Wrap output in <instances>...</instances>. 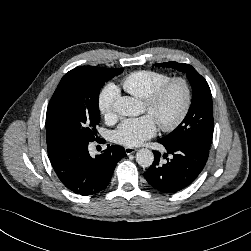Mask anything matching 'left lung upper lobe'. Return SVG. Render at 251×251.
I'll list each match as a JSON object with an SVG mask.
<instances>
[{"instance_id":"1","label":"left lung upper lobe","mask_w":251,"mask_h":251,"mask_svg":"<svg viewBox=\"0 0 251 251\" xmlns=\"http://www.w3.org/2000/svg\"><path fill=\"white\" fill-rule=\"evenodd\" d=\"M156 66L170 67L186 72L193 92L190 108L182 123L159 141L165 145L195 142L209 150L213 137V105L208 83L189 64L172 61L158 63Z\"/></svg>"}]
</instances>
